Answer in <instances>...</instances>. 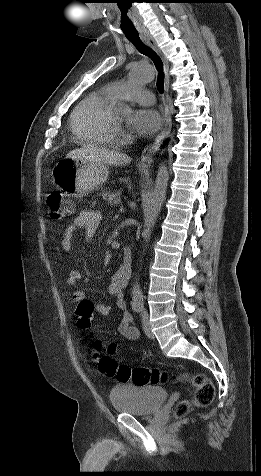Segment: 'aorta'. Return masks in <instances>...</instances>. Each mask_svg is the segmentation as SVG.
<instances>
[{"label":"aorta","instance_id":"1","mask_svg":"<svg viewBox=\"0 0 261 476\" xmlns=\"http://www.w3.org/2000/svg\"><path fill=\"white\" fill-rule=\"evenodd\" d=\"M153 78L154 70L150 66L137 65L130 71V80L133 84L150 82ZM116 111L121 117H127L132 113L131 108L123 103L117 105ZM168 180V168L165 164H160L155 180L153 196L147 212V219L144 225L143 238L146 243L150 241L152 229L166 199ZM131 295L133 306H142L144 304V296L138 282L133 285Z\"/></svg>","mask_w":261,"mask_h":476}]
</instances>
